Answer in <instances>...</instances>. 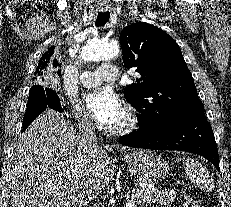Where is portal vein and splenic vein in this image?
Instances as JSON below:
<instances>
[{
    "instance_id": "18ae733b",
    "label": "portal vein and splenic vein",
    "mask_w": 231,
    "mask_h": 207,
    "mask_svg": "<svg viewBox=\"0 0 231 207\" xmlns=\"http://www.w3.org/2000/svg\"><path fill=\"white\" fill-rule=\"evenodd\" d=\"M145 199H143V201H144ZM141 202V201H140ZM135 206V203L134 202H132V201H128L127 203H126V207H134Z\"/></svg>"
}]
</instances>
